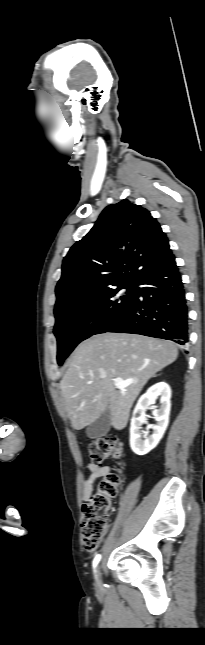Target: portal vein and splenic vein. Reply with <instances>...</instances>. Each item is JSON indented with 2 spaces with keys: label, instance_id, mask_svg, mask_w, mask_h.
<instances>
[{
  "label": "portal vein and splenic vein",
  "instance_id": "obj_1",
  "mask_svg": "<svg viewBox=\"0 0 205 645\" xmlns=\"http://www.w3.org/2000/svg\"><path fill=\"white\" fill-rule=\"evenodd\" d=\"M132 383H133V380H123L121 378L114 379V385L118 389H124L125 387L129 386Z\"/></svg>",
  "mask_w": 205,
  "mask_h": 645
}]
</instances>
